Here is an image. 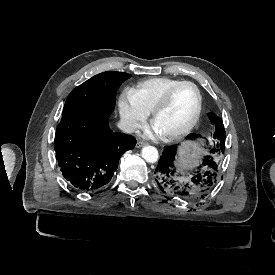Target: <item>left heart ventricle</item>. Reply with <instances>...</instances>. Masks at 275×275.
<instances>
[{
  "mask_svg": "<svg viewBox=\"0 0 275 275\" xmlns=\"http://www.w3.org/2000/svg\"><path fill=\"white\" fill-rule=\"evenodd\" d=\"M197 107V94L190 84L178 86L164 110L155 118V125L164 135L180 130L192 119Z\"/></svg>",
  "mask_w": 275,
  "mask_h": 275,
  "instance_id": "obj_1",
  "label": "left heart ventricle"
}]
</instances>
